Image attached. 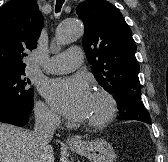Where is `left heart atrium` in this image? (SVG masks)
I'll list each match as a JSON object with an SVG mask.
<instances>
[{"label": "left heart atrium", "instance_id": "left-heart-atrium-1", "mask_svg": "<svg viewBox=\"0 0 168 162\" xmlns=\"http://www.w3.org/2000/svg\"><path fill=\"white\" fill-rule=\"evenodd\" d=\"M44 94L52 106L68 119L80 121L86 118L92 94L84 77L51 80Z\"/></svg>", "mask_w": 168, "mask_h": 162}]
</instances>
